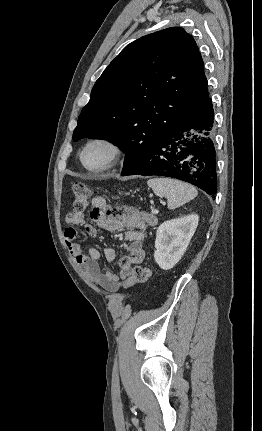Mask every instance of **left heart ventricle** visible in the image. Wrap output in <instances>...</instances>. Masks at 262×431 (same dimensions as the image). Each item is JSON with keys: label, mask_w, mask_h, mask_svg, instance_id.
I'll list each match as a JSON object with an SVG mask.
<instances>
[{"label": "left heart ventricle", "mask_w": 262, "mask_h": 431, "mask_svg": "<svg viewBox=\"0 0 262 431\" xmlns=\"http://www.w3.org/2000/svg\"><path fill=\"white\" fill-rule=\"evenodd\" d=\"M109 158V150L103 145L91 147L85 154L84 161L88 167L97 168L103 166Z\"/></svg>", "instance_id": "1"}]
</instances>
